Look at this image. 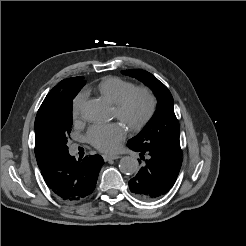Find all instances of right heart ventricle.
Instances as JSON below:
<instances>
[{
    "mask_svg": "<svg viewBox=\"0 0 246 246\" xmlns=\"http://www.w3.org/2000/svg\"><path fill=\"white\" fill-rule=\"evenodd\" d=\"M134 88L136 85L133 82L115 76L105 77L96 87L104 98L114 104Z\"/></svg>",
    "mask_w": 246,
    "mask_h": 246,
    "instance_id": "e07e8e85",
    "label": "right heart ventricle"
}]
</instances>
